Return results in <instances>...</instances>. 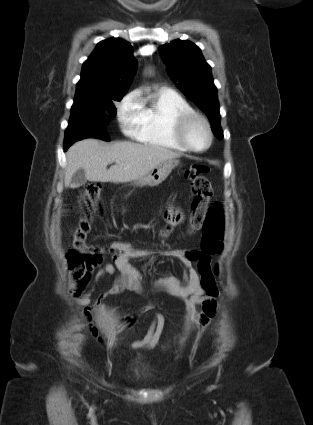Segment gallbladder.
Listing matches in <instances>:
<instances>
[{"mask_svg": "<svg viewBox=\"0 0 313 425\" xmlns=\"http://www.w3.org/2000/svg\"><path fill=\"white\" fill-rule=\"evenodd\" d=\"M87 181L86 176H85V172L83 169H79L77 170L71 179V182L73 185L75 186H81L83 184H85Z\"/></svg>", "mask_w": 313, "mask_h": 425, "instance_id": "1", "label": "gallbladder"}]
</instances>
